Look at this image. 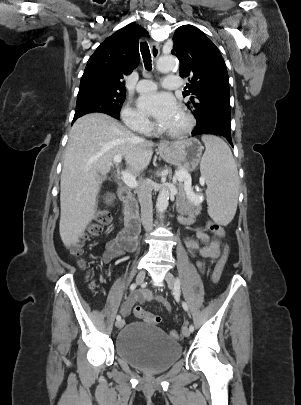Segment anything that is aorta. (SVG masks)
Returning a JSON list of instances; mask_svg holds the SVG:
<instances>
[{"label":"aorta","mask_w":301,"mask_h":405,"mask_svg":"<svg viewBox=\"0 0 301 405\" xmlns=\"http://www.w3.org/2000/svg\"><path fill=\"white\" fill-rule=\"evenodd\" d=\"M178 68V61L173 56L161 57L157 62V70L163 73H168ZM170 193L167 188H163L158 195L156 209L163 213L169 205Z\"/></svg>","instance_id":"1"}]
</instances>
